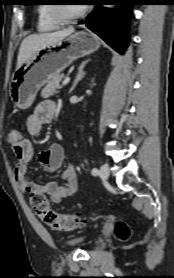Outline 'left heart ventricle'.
Returning a JSON list of instances; mask_svg holds the SVG:
<instances>
[{"label":"left heart ventricle","instance_id":"b2bd125f","mask_svg":"<svg viewBox=\"0 0 174 278\" xmlns=\"http://www.w3.org/2000/svg\"><path fill=\"white\" fill-rule=\"evenodd\" d=\"M83 8L82 5H69L66 6V9L69 13L73 14V13H77L79 10H81Z\"/></svg>","mask_w":174,"mask_h":278}]
</instances>
